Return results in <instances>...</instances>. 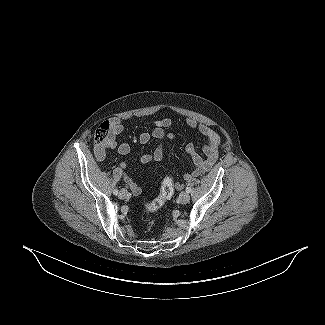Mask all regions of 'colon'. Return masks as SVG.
I'll return each mask as SVG.
<instances>
[{
	"instance_id": "obj_1",
	"label": "colon",
	"mask_w": 325,
	"mask_h": 325,
	"mask_svg": "<svg viewBox=\"0 0 325 325\" xmlns=\"http://www.w3.org/2000/svg\"><path fill=\"white\" fill-rule=\"evenodd\" d=\"M109 133V124L102 123L95 131L94 139L96 143H102ZM175 184L174 179L171 176H167L163 179L159 195L145 204V211L147 213H153L161 209L171 199L174 194Z\"/></svg>"
}]
</instances>
